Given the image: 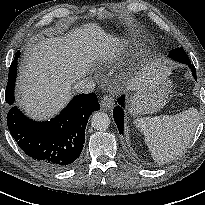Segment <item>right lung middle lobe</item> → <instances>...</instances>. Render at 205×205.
Masks as SVG:
<instances>
[{"label":"right lung middle lobe","mask_w":205,"mask_h":205,"mask_svg":"<svg viewBox=\"0 0 205 205\" xmlns=\"http://www.w3.org/2000/svg\"><path fill=\"white\" fill-rule=\"evenodd\" d=\"M19 56H20V51L16 53L15 58L9 68V76H8L7 88L5 93V100L8 104H13L14 102V85H15L16 74H17V59Z\"/></svg>","instance_id":"obj_1"}]
</instances>
